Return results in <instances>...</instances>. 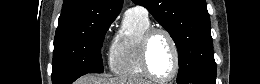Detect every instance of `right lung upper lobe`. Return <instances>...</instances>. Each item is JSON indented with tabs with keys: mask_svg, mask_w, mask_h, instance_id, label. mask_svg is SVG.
<instances>
[{
	"mask_svg": "<svg viewBox=\"0 0 260 84\" xmlns=\"http://www.w3.org/2000/svg\"><path fill=\"white\" fill-rule=\"evenodd\" d=\"M123 0H64L55 38L80 32L98 21L114 20Z\"/></svg>",
	"mask_w": 260,
	"mask_h": 84,
	"instance_id": "1",
	"label": "right lung upper lobe"
}]
</instances>
